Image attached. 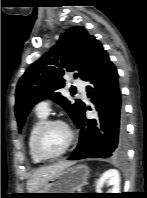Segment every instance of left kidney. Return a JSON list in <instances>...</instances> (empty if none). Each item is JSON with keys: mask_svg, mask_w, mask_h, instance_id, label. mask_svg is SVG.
Here are the masks:
<instances>
[{"mask_svg": "<svg viewBox=\"0 0 147 198\" xmlns=\"http://www.w3.org/2000/svg\"><path fill=\"white\" fill-rule=\"evenodd\" d=\"M105 183L112 186L109 193H120V175L116 169H110L103 173L96 185L97 193H101V188Z\"/></svg>", "mask_w": 147, "mask_h": 198, "instance_id": "1", "label": "left kidney"}]
</instances>
